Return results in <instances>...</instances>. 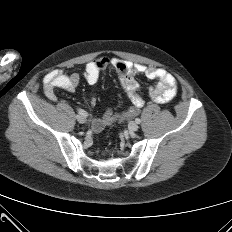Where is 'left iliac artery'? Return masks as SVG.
I'll list each match as a JSON object with an SVG mask.
<instances>
[{"label":"left iliac artery","instance_id":"obj_1","mask_svg":"<svg viewBox=\"0 0 232 232\" xmlns=\"http://www.w3.org/2000/svg\"><path fill=\"white\" fill-rule=\"evenodd\" d=\"M135 122H136L137 124H140L141 120H140L139 118H136V119H135Z\"/></svg>","mask_w":232,"mask_h":232}]
</instances>
